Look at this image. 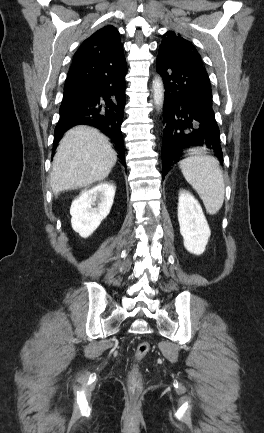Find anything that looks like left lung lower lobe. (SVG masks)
Segmentation results:
<instances>
[{
  "label": "left lung lower lobe",
  "instance_id": "0a47b994",
  "mask_svg": "<svg viewBox=\"0 0 264 433\" xmlns=\"http://www.w3.org/2000/svg\"><path fill=\"white\" fill-rule=\"evenodd\" d=\"M157 70L163 78L162 176L177 163L182 151L206 146L223 161L220 132L212 109L211 84L204 68L185 65L158 55Z\"/></svg>",
  "mask_w": 264,
  "mask_h": 433
}]
</instances>
